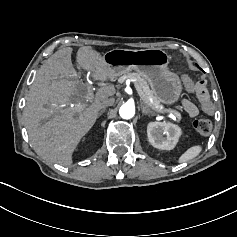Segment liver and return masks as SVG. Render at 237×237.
<instances>
[{"instance_id": "1", "label": "liver", "mask_w": 237, "mask_h": 237, "mask_svg": "<svg viewBox=\"0 0 237 237\" xmlns=\"http://www.w3.org/2000/svg\"><path fill=\"white\" fill-rule=\"evenodd\" d=\"M71 53V47L58 50L41 66L23 111L29 139L37 155L63 166L72 164V153L94 125L102 101L115 94L114 86L102 87L94 102L83 110L86 98H73L84 84L72 65ZM76 61L94 80L106 81L112 76V70L100 53L90 46L78 49ZM72 103L75 107L67 106Z\"/></svg>"}]
</instances>
